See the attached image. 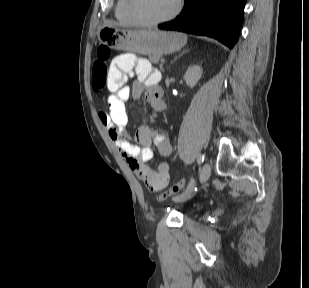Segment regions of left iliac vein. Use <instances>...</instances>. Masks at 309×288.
<instances>
[{
    "instance_id": "1",
    "label": "left iliac vein",
    "mask_w": 309,
    "mask_h": 288,
    "mask_svg": "<svg viewBox=\"0 0 309 288\" xmlns=\"http://www.w3.org/2000/svg\"><path fill=\"white\" fill-rule=\"evenodd\" d=\"M211 173V167L209 163H205L199 173V180L201 183H205L210 176ZM192 194V191L186 190L182 196H180V199L175 200L176 202H184L186 201Z\"/></svg>"
}]
</instances>
